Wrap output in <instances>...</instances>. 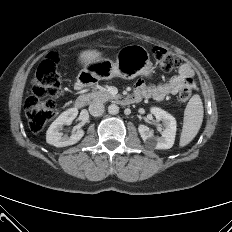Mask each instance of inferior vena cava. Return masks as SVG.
<instances>
[{
  "label": "inferior vena cava",
  "mask_w": 232,
  "mask_h": 232,
  "mask_svg": "<svg viewBox=\"0 0 232 232\" xmlns=\"http://www.w3.org/2000/svg\"><path fill=\"white\" fill-rule=\"evenodd\" d=\"M105 107L101 102H94L89 106V112L92 116H100L104 113Z\"/></svg>",
  "instance_id": "602c4592"
}]
</instances>
